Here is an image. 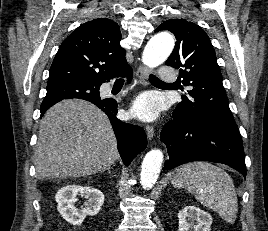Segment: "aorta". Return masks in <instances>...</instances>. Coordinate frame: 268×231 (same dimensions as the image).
Returning <instances> with one entry per match:
<instances>
[{
  "mask_svg": "<svg viewBox=\"0 0 268 231\" xmlns=\"http://www.w3.org/2000/svg\"><path fill=\"white\" fill-rule=\"evenodd\" d=\"M174 43V39L169 33L156 34L145 46L142 55L143 63L150 68L162 64L171 54ZM162 162L163 153L160 149H152L145 155L140 174L144 189H151L154 186L159 177Z\"/></svg>",
  "mask_w": 268,
  "mask_h": 231,
  "instance_id": "762f6f07",
  "label": "aorta"
}]
</instances>
